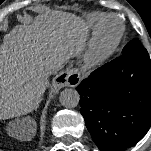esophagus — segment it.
I'll list each match as a JSON object with an SVG mask.
<instances>
[{
	"label": "esophagus",
	"mask_w": 151,
	"mask_h": 151,
	"mask_svg": "<svg viewBox=\"0 0 151 151\" xmlns=\"http://www.w3.org/2000/svg\"><path fill=\"white\" fill-rule=\"evenodd\" d=\"M81 80V74L77 68H72L58 74L51 84V91L58 93V91L67 86H76Z\"/></svg>",
	"instance_id": "esophagus-1"
}]
</instances>
